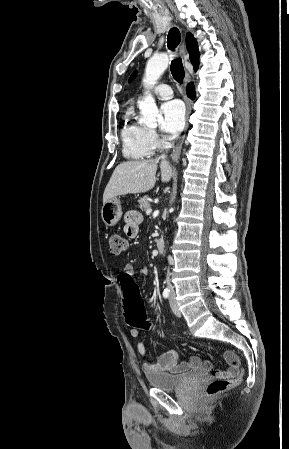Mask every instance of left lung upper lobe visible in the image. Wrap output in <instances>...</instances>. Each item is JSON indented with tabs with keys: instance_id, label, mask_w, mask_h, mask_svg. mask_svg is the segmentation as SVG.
<instances>
[{
	"instance_id": "5c2ea615",
	"label": "left lung upper lobe",
	"mask_w": 289,
	"mask_h": 449,
	"mask_svg": "<svg viewBox=\"0 0 289 449\" xmlns=\"http://www.w3.org/2000/svg\"><path fill=\"white\" fill-rule=\"evenodd\" d=\"M136 75V73H133L129 79V82L134 78V76Z\"/></svg>"
}]
</instances>
